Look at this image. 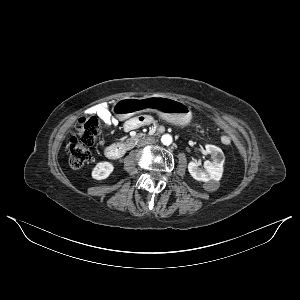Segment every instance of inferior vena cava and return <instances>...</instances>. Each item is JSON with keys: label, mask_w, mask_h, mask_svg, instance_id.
Returning <instances> with one entry per match:
<instances>
[{"label": "inferior vena cava", "mask_w": 300, "mask_h": 300, "mask_svg": "<svg viewBox=\"0 0 300 300\" xmlns=\"http://www.w3.org/2000/svg\"><path fill=\"white\" fill-rule=\"evenodd\" d=\"M155 142V139L153 137L147 138V139H141L139 141V146H148L149 144H153Z\"/></svg>", "instance_id": "602c4592"}]
</instances>
